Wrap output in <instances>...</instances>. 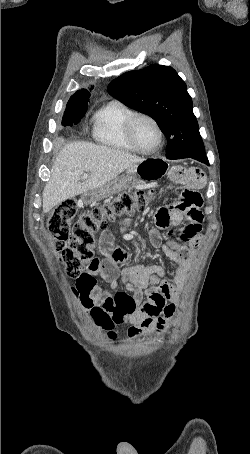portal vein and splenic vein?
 Listing matches in <instances>:
<instances>
[{"label": "portal vein and splenic vein", "instance_id": "obj_1", "mask_svg": "<svg viewBox=\"0 0 250 454\" xmlns=\"http://www.w3.org/2000/svg\"><path fill=\"white\" fill-rule=\"evenodd\" d=\"M82 179H86L88 178V174L87 173H84L82 176H81Z\"/></svg>", "mask_w": 250, "mask_h": 454}]
</instances>
